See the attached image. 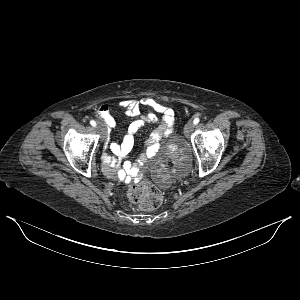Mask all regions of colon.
<instances>
[{
    "mask_svg": "<svg viewBox=\"0 0 300 300\" xmlns=\"http://www.w3.org/2000/svg\"><path fill=\"white\" fill-rule=\"evenodd\" d=\"M128 197L132 202L140 204L145 210L157 209L163 201L161 192L147 183H139L130 188Z\"/></svg>",
    "mask_w": 300,
    "mask_h": 300,
    "instance_id": "5ec220e1",
    "label": "colon"
}]
</instances>
